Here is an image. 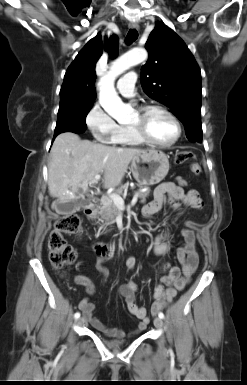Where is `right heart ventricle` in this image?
<instances>
[{
  "instance_id": "obj_1",
  "label": "right heart ventricle",
  "mask_w": 247,
  "mask_h": 385,
  "mask_svg": "<svg viewBox=\"0 0 247 385\" xmlns=\"http://www.w3.org/2000/svg\"><path fill=\"white\" fill-rule=\"evenodd\" d=\"M115 143L121 145L137 146L140 145L142 141L139 140V138L134 134L130 126L121 125L119 126V132L117 134Z\"/></svg>"
}]
</instances>
